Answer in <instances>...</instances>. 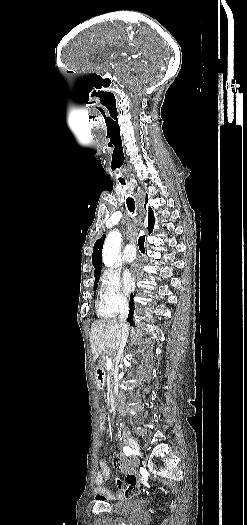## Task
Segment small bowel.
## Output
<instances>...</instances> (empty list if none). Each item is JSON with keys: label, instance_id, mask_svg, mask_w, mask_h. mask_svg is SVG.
<instances>
[{"label": "small bowel", "instance_id": "small-bowel-1", "mask_svg": "<svg viewBox=\"0 0 247 525\" xmlns=\"http://www.w3.org/2000/svg\"><path fill=\"white\" fill-rule=\"evenodd\" d=\"M111 466L115 470L122 468V458L120 456H115L111 463ZM111 477L110 468L105 459L100 458L99 460V470L95 476L96 484V493L98 499H105L106 495L110 496L113 499H123L126 497V492L136 496L138 491L136 488L139 485L138 476L134 472H128L125 474L124 478L119 479V475H114V480H116V490L113 488L107 489L104 487L105 481L109 480Z\"/></svg>", "mask_w": 247, "mask_h": 525}]
</instances>
